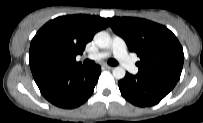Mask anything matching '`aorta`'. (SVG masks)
I'll use <instances>...</instances> for the list:
<instances>
[{
	"instance_id": "762f6f07",
	"label": "aorta",
	"mask_w": 203,
	"mask_h": 123,
	"mask_svg": "<svg viewBox=\"0 0 203 123\" xmlns=\"http://www.w3.org/2000/svg\"><path fill=\"white\" fill-rule=\"evenodd\" d=\"M94 42L99 48H107L110 45L111 37L106 31H100L95 34ZM112 74L115 79H123L126 71L123 67L117 66L113 69Z\"/></svg>"
}]
</instances>
